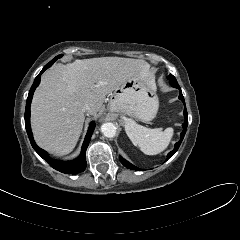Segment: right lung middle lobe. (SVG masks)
I'll use <instances>...</instances> for the list:
<instances>
[{
  "label": "right lung middle lobe",
  "instance_id": "dd1d6c3e",
  "mask_svg": "<svg viewBox=\"0 0 240 240\" xmlns=\"http://www.w3.org/2000/svg\"><path fill=\"white\" fill-rule=\"evenodd\" d=\"M62 57V55H58L57 57H55L53 60H57L58 58H61Z\"/></svg>",
  "mask_w": 240,
  "mask_h": 240
}]
</instances>
